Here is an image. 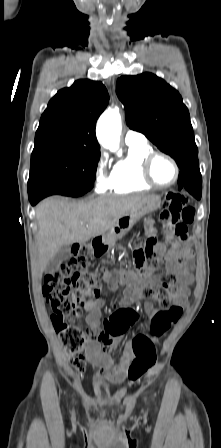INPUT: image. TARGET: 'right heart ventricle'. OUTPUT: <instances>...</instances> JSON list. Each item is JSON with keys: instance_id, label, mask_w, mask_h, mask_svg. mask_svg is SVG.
Segmentation results:
<instances>
[{"instance_id": "1", "label": "right heart ventricle", "mask_w": 221, "mask_h": 448, "mask_svg": "<svg viewBox=\"0 0 221 448\" xmlns=\"http://www.w3.org/2000/svg\"><path fill=\"white\" fill-rule=\"evenodd\" d=\"M152 151L147 142L128 145L126 156L113 167L110 190L114 193H130L152 188L142 177L143 159Z\"/></svg>"}]
</instances>
